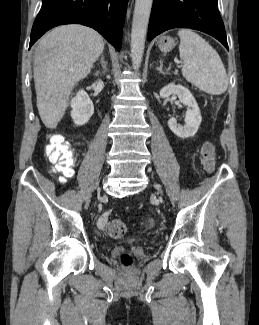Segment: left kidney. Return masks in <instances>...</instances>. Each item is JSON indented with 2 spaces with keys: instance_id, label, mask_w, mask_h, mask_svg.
<instances>
[{
  "instance_id": "left-kidney-1",
  "label": "left kidney",
  "mask_w": 259,
  "mask_h": 325,
  "mask_svg": "<svg viewBox=\"0 0 259 325\" xmlns=\"http://www.w3.org/2000/svg\"><path fill=\"white\" fill-rule=\"evenodd\" d=\"M172 94H176L181 103L187 106L185 125H180L177 120L172 117L168 121L170 130L180 138L192 137L196 134L201 124V114L198 104L191 92L182 85L170 83L160 90V97L168 98Z\"/></svg>"
}]
</instances>
